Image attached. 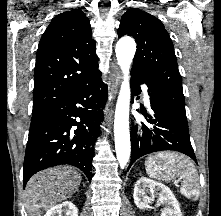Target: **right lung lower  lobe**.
Returning <instances> with one entry per match:
<instances>
[{"label":"right lung lower lobe","mask_w":221,"mask_h":216,"mask_svg":"<svg viewBox=\"0 0 221 216\" xmlns=\"http://www.w3.org/2000/svg\"><path fill=\"white\" fill-rule=\"evenodd\" d=\"M106 94L107 87L100 76L41 113L40 120L29 132L23 166L24 187L38 171L61 164L81 169L91 181V161L100 134Z\"/></svg>","instance_id":"1"}]
</instances>
